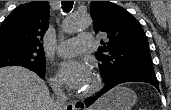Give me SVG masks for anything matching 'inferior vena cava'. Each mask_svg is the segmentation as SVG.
Masks as SVG:
<instances>
[{
    "mask_svg": "<svg viewBox=\"0 0 171 110\" xmlns=\"http://www.w3.org/2000/svg\"><path fill=\"white\" fill-rule=\"evenodd\" d=\"M51 87L56 95V100L54 101V110H62L65 106L66 96L62 85L58 82L51 83Z\"/></svg>",
    "mask_w": 171,
    "mask_h": 110,
    "instance_id": "inferior-vena-cava-1",
    "label": "inferior vena cava"
}]
</instances>
